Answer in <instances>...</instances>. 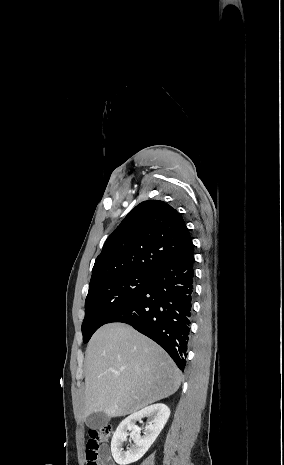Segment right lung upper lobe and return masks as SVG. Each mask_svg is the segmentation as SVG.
<instances>
[{
  "instance_id": "obj_1",
  "label": "right lung upper lobe",
  "mask_w": 284,
  "mask_h": 465,
  "mask_svg": "<svg viewBox=\"0 0 284 465\" xmlns=\"http://www.w3.org/2000/svg\"><path fill=\"white\" fill-rule=\"evenodd\" d=\"M192 245L189 230L173 207L159 200L144 201L107 238L89 287L126 274L153 276Z\"/></svg>"
}]
</instances>
